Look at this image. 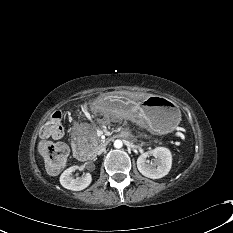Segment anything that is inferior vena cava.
<instances>
[{"instance_id":"1","label":"inferior vena cava","mask_w":233,"mask_h":233,"mask_svg":"<svg viewBox=\"0 0 233 233\" xmlns=\"http://www.w3.org/2000/svg\"><path fill=\"white\" fill-rule=\"evenodd\" d=\"M104 150H105V148H99V149L97 150V154L100 155L101 153L104 152Z\"/></svg>"}]
</instances>
